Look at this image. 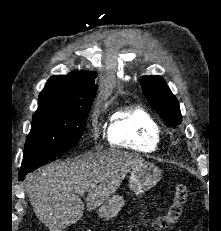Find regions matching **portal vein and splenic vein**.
<instances>
[{"instance_id":"1","label":"portal vein and splenic vein","mask_w":221,"mask_h":231,"mask_svg":"<svg viewBox=\"0 0 221 231\" xmlns=\"http://www.w3.org/2000/svg\"><path fill=\"white\" fill-rule=\"evenodd\" d=\"M85 189H82L81 192H84Z\"/></svg>"}]
</instances>
